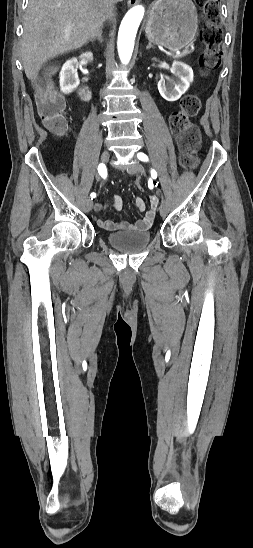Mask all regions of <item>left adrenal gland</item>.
Returning <instances> with one entry per match:
<instances>
[{
  "label": "left adrenal gland",
  "instance_id": "left-adrenal-gland-1",
  "mask_svg": "<svg viewBox=\"0 0 253 548\" xmlns=\"http://www.w3.org/2000/svg\"><path fill=\"white\" fill-rule=\"evenodd\" d=\"M150 48H153V45L151 44V42L148 43V45L146 46V49H150Z\"/></svg>",
  "mask_w": 253,
  "mask_h": 548
}]
</instances>
